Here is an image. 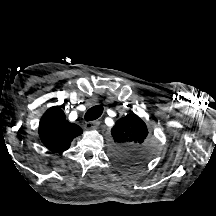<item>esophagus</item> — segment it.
I'll return each mask as SVG.
<instances>
[{"mask_svg":"<svg viewBox=\"0 0 216 216\" xmlns=\"http://www.w3.org/2000/svg\"><path fill=\"white\" fill-rule=\"evenodd\" d=\"M100 122L99 121H89L85 123V129L86 130H92L95 129L99 126Z\"/></svg>","mask_w":216,"mask_h":216,"instance_id":"1","label":"esophagus"}]
</instances>
